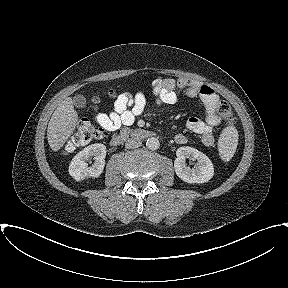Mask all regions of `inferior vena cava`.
Listing matches in <instances>:
<instances>
[{
  "label": "inferior vena cava",
  "mask_w": 288,
  "mask_h": 288,
  "mask_svg": "<svg viewBox=\"0 0 288 288\" xmlns=\"http://www.w3.org/2000/svg\"><path fill=\"white\" fill-rule=\"evenodd\" d=\"M142 144L141 140L139 138H130L126 141L125 147L127 149H134L140 147Z\"/></svg>",
  "instance_id": "1"
}]
</instances>
